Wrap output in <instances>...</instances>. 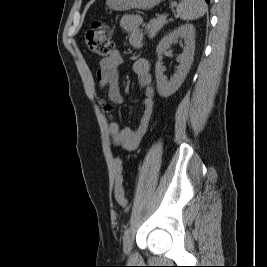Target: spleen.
I'll return each mask as SVG.
<instances>
[{
    "instance_id": "1",
    "label": "spleen",
    "mask_w": 267,
    "mask_h": 267,
    "mask_svg": "<svg viewBox=\"0 0 267 267\" xmlns=\"http://www.w3.org/2000/svg\"><path fill=\"white\" fill-rule=\"evenodd\" d=\"M207 11L204 0H181L176 8L177 16L188 21L202 17Z\"/></svg>"
}]
</instances>
